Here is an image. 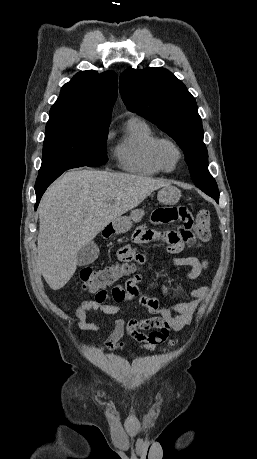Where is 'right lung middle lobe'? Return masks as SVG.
I'll return each mask as SVG.
<instances>
[{"mask_svg": "<svg viewBox=\"0 0 257 459\" xmlns=\"http://www.w3.org/2000/svg\"><path fill=\"white\" fill-rule=\"evenodd\" d=\"M109 124H94L65 117H49L39 172L63 167L100 166L108 161Z\"/></svg>", "mask_w": 257, "mask_h": 459, "instance_id": "dd1d6c3e", "label": "right lung middle lobe"}]
</instances>
